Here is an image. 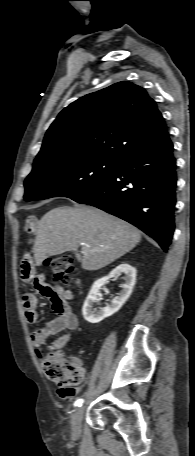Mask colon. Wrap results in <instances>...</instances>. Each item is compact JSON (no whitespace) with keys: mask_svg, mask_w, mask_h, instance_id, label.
Masks as SVG:
<instances>
[{"mask_svg":"<svg viewBox=\"0 0 195 456\" xmlns=\"http://www.w3.org/2000/svg\"><path fill=\"white\" fill-rule=\"evenodd\" d=\"M52 269L53 278L58 283L74 279V259L68 254L50 257L45 261ZM43 366L47 375L62 387L72 388L82 383L85 371L75 358H67L58 351L43 352Z\"/></svg>","mask_w":195,"mask_h":456,"instance_id":"colon-1","label":"colon"}]
</instances>
